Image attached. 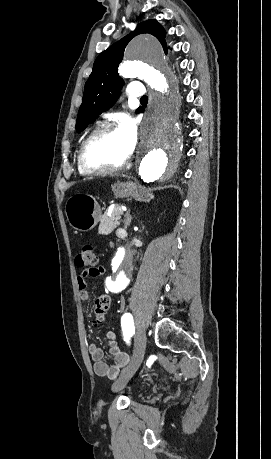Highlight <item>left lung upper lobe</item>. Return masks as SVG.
I'll use <instances>...</instances> for the list:
<instances>
[{
	"label": "left lung upper lobe",
	"mask_w": 271,
	"mask_h": 459,
	"mask_svg": "<svg viewBox=\"0 0 271 459\" xmlns=\"http://www.w3.org/2000/svg\"><path fill=\"white\" fill-rule=\"evenodd\" d=\"M148 33L155 36L167 53L165 31L156 20H147L138 24L134 32L114 43L103 51L95 60L93 70L85 84L83 102L79 108L76 130L83 131L98 115L106 111L117 101L123 86V80L117 73L124 50L136 35ZM140 113V108L136 110Z\"/></svg>",
	"instance_id": "5c2ea615"
}]
</instances>
